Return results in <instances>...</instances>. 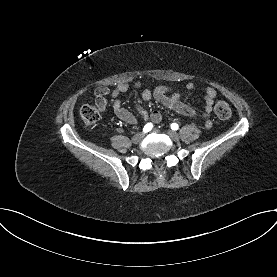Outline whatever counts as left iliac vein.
<instances>
[{"label": "left iliac vein", "instance_id": "left-iliac-vein-1", "mask_svg": "<svg viewBox=\"0 0 277 277\" xmlns=\"http://www.w3.org/2000/svg\"><path fill=\"white\" fill-rule=\"evenodd\" d=\"M167 135L171 138L173 141H178L179 140V135L175 131L169 130L167 131Z\"/></svg>", "mask_w": 277, "mask_h": 277}]
</instances>
